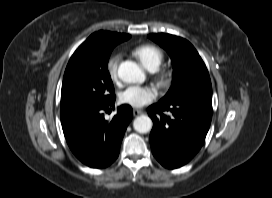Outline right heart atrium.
<instances>
[{
  "label": "right heart atrium",
  "mask_w": 272,
  "mask_h": 198,
  "mask_svg": "<svg viewBox=\"0 0 272 198\" xmlns=\"http://www.w3.org/2000/svg\"><path fill=\"white\" fill-rule=\"evenodd\" d=\"M122 60L120 53L112 54L107 61V72L112 80H116L118 77V68Z\"/></svg>",
  "instance_id": "1"
}]
</instances>
